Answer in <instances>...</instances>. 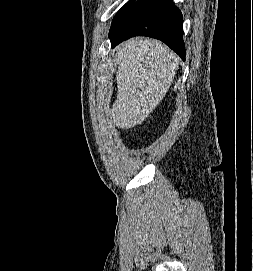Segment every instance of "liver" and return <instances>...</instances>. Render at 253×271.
<instances>
[{
	"label": "liver",
	"mask_w": 253,
	"mask_h": 271,
	"mask_svg": "<svg viewBox=\"0 0 253 271\" xmlns=\"http://www.w3.org/2000/svg\"><path fill=\"white\" fill-rule=\"evenodd\" d=\"M117 100L112 122L119 128L140 125L170 88L179 64L166 45L149 38H133L116 48Z\"/></svg>",
	"instance_id": "obj_1"
}]
</instances>
